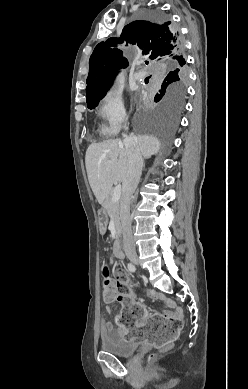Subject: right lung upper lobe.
Masks as SVG:
<instances>
[{
  "label": "right lung upper lobe",
  "mask_w": 248,
  "mask_h": 389,
  "mask_svg": "<svg viewBox=\"0 0 248 389\" xmlns=\"http://www.w3.org/2000/svg\"><path fill=\"white\" fill-rule=\"evenodd\" d=\"M175 39L171 22L137 20L126 25L120 38H110L95 47L89 60L86 98L103 88H109L118 70L126 67L128 62L122 59V51L117 44L139 48L152 65L164 68L174 62L186 63L183 45L180 43L181 48L177 49Z\"/></svg>",
  "instance_id": "1"
}]
</instances>
